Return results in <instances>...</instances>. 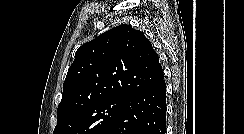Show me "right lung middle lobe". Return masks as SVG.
<instances>
[{
  "instance_id": "right-lung-middle-lobe-1",
  "label": "right lung middle lobe",
  "mask_w": 244,
  "mask_h": 134,
  "mask_svg": "<svg viewBox=\"0 0 244 134\" xmlns=\"http://www.w3.org/2000/svg\"><path fill=\"white\" fill-rule=\"evenodd\" d=\"M125 98H109L81 108L58 120L53 134H102L117 118Z\"/></svg>"
}]
</instances>
